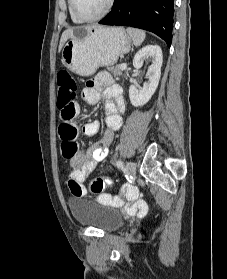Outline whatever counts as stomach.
I'll use <instances>...</instances> for the list:
<instances>
[{
    "label": "stomach",
    "mask_w": 227,
    "mask_h": 279,
    "mask_svg": "<svg viewBox=\"0 0 227 279\" xmlns=\"http://www.w3.org/2000/svg\"><path fill=\"white\" fill-rule=\"evenodd\" d=\"M62 49V63L80 76L93 75L101 66H112L131 49V37L120 27L80 28Z\"/></svg>",
    "instance_id": "0dacf381"
}]
</instances>
